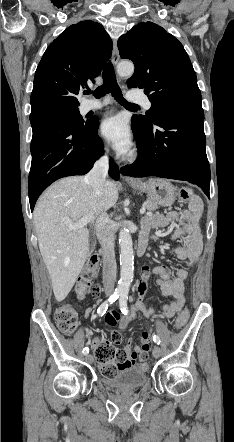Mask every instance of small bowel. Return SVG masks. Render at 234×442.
Here are the masks:
<instances>
[{
	"mask_svg": "<svg viewBox=\"0 0 234 442\" xmlns=\"http://www.w3.org/2000/svg\"><path fill=\"white\" fill-rule=\"evenodd\" d=\"M203 204L202 201L196 196V198L189 203L188 208L182 211L169 212L167 215L153 214L146 217L143 221V227L145 230V237L148 238V234L158 228H164L169 225L175 226V230L171 236L172 240H181V246L175 249L174 254L178 260L186 263L187 267H192L196 264L201 250H202V236L199 228V220L202 215ZM153 272L158 276L157 285L159 286L162 294L166 297H172L173 301L163 306L162 317L172 318L178 314L185 303V283L188 277V271L185 268L178 269L172 276L168 267L165 265H158L151 269L148 264L142 267V276L138 284L139 298L136 301L133 309L141 312L146 317H153L156 315L155 311L146 305L145 296L148 293V282ZM120 316L118 312L112 311L104 317L100 322L101 327L107 331H111L112 341L115 344L121 343L122 334L119 329L114 328L116 321ZM128 326V321L123 320L120 323V329L124 330ZM114 328V329H113ZM151 332L146 331L141 334V347L132 348V339H128L124 348L121 349L127 356L126 367L129 370H133L136 367V363L140 364L142 360H147L150 357ZM99 340L95 341V344Z\"/></svg>",
	"mask_w": 234,
	"mask_h": 442,
	"instance_id": "small-bowel-1",
	"label": "small bowel"
}]
</instances>
